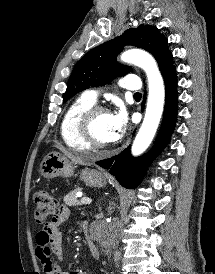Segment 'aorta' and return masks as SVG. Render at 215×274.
<instances>
[{"label":"aorta","mask_w":215,"mask_h":274,"mask_svg":"<svg viewBox=\"0 0 215 274\" xmlns=\"http://www.w3.org/2000/svg\"><path fill=\"white\" fill-rule=\"evenodd\" d=\"M121 60L141 67L147 75L149 95L145 117L132 145V154H142L152 142L164 107L165 89L162 76L154 58L145 51L131 49L121 55Z\"/></svg>","instance_id":"762f6f07"}]
</instances>
